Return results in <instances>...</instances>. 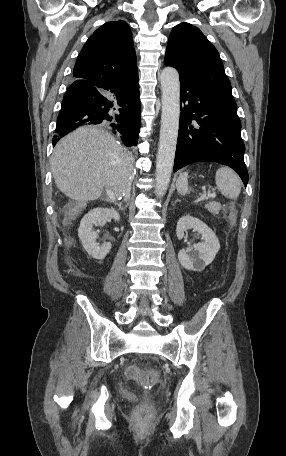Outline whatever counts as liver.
Masks as SVG:
<instances>
[{
    "instance_id": "1",
    "label": "liver",
    "mask_w": 286,
    "mask_h": 456,
    "mask_svg": "<svg viewBox=\"0 0 286 456\" xmlns=\"http://www.w3.org/2000/svg\"><path fill=\"white\" fill-rule=\"evenodd\" d=\"M132 155L95 126L77 129L55 147L51 170L58 189L80 203L101 197L106 187L114 198L129 189Z\"/></svg>"
}]
</instances>
